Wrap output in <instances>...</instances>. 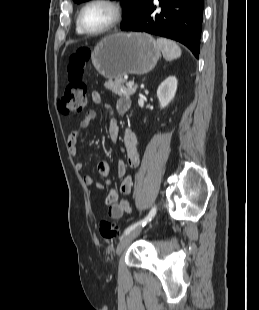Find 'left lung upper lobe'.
I'll return each mask as SVG.
<instances>
[{
	"instance_id": "obj_1",
	"label": "left lung upper lobe",
	"mask_w": 259,
	"mask_h": 310,
	"mask_svg": "<svg viewBox=\"0 0 259 310\" xmlns=\"http://www.w3.org/2000/svg\"><path fill=\"white\" fill-rule=\"evenodd\" d=\"M76 3H82L89 0H73ZM150 0H120L124 8V18L122 25L127 24L137 18Z\"/></svg>"
}]
</instances>
